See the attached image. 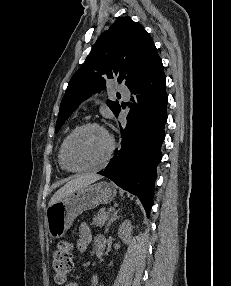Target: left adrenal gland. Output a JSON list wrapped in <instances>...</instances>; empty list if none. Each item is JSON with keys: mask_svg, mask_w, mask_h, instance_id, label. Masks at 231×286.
<instances>
[{"mask_svg": "<svg viewBox=\"0 0 231 286\" xmlns=\"http://www.w3.org/2000/svg\"><path fill=\"white\" fill-rule=\"evenodd\" d=\"M119 211H120V209L113 211L111 218H110V220H109V222L105 228V233L108 232L111 223H113L114 221H116L119 218V216H118Z\"/></svg>", "mask_w": 231, "mask_h": 286, "instance_id": "1", "label": "left adrenal gland"}]
</instances>
